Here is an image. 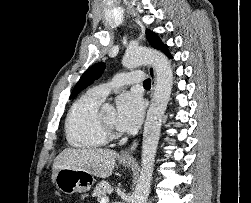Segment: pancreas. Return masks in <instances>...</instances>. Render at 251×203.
Wrapping results in <instances>:
<instances>
[{
    "mask_svg": "<svg viewBox=\"0 0 251 203\" xmlns=\"http://www.w3.org/2000/svg\"><path fill=\"white\" fill-rule=\"evenodd\" d=\"M111 186L107 181H101L97 184L93 191V196L97 197V201L101 202V199L109 193Z\"/></svg>",
    "mask_w": 251,
    "mask_h": 203,
    "instance_id": "pancreas-1",
    "label": "pancreas"
}]
</instances>
